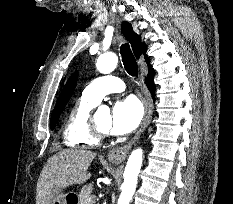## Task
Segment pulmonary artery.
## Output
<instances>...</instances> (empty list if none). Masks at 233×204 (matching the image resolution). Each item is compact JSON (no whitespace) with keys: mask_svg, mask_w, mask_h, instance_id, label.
Segmentation results:
<instances>
[{"mask_svg":"<svg viewBox=\"0 0 233 204\" xmlns=\"http://www.w3.org/2000/svg\"><path fill=\"white\" fill-rule=\"evenodd\" d=\"M124 90L125 83L120 78L113 75H105L88 84L83 90L82 95L98 104L106 94L122 92Z\"/></svg>","mask_w":233,"mask_h":204,"instance_id":"pulmonary-artery-1","label":"pulmonary artery"}]
</instances>
